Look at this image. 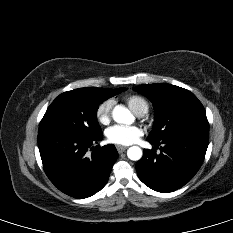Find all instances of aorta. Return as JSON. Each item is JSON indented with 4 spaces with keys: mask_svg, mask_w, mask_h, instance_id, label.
<instances>
[{
    "mask_svg": "<svg viewBox=\"0 0 233 233\" xmlns=\"http://www.w3.org/2000/svg\"><path fill=\"white\" fill-rule=\"evenodd\" d=\"M112 117L115 122L120 124H132L134 122V116L124 106L117 105L113 109ZM127 156L130 160L138 161L142 157V150L138 146H132L127 150Z\"/></svg>",
    "mask_w": 233,
    "mask_h": 233,
    "instance_id": "obj_1",
    "label": "aorta"
}]
</instances>
